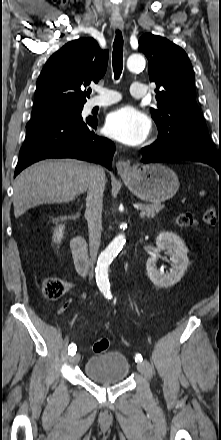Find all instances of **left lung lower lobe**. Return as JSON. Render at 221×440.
Wrapping results in <instances>:
<instances>
[{"instance_id":"obj_1","label":"left lung lower lobe","mask_w":221,"mask_h":440,"mask_svg":"<svg viewBox=\"0 0 221 440\" xmlns=\"http://www.w3.org/2000/svg\"><path fill=\"white\" fill-rule=\"evenodd\" d=\"M142 162L196 161L208 164L221 175V151L194 139H158L142 148Z\"/></svg>"}]
</instances>
